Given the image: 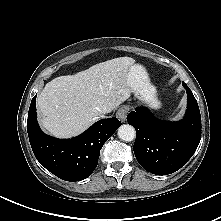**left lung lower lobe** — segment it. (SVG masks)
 I'll return each mask as SVG.
<instances>
[{
    "mask_svg": "<svg viewBox=\"0 0 221 221\" xmlns=\"http://www.w3.org/2000/svg\"><path fill=\"white\" fill-rule=\"evenodd\" d=\"M187 91V111L183 120L167 122L157 119L145 107L130 112L127 121L136 130L134 153L148 172L167 175L179 170L195 153L201 139V116L197 101Z\"/></svg>",
    "mask_w": 221,
    "mask_h": 221,
    "instance_id": "0a47b994",
    "label": "left lung lower lobe"
}]
</instances>
